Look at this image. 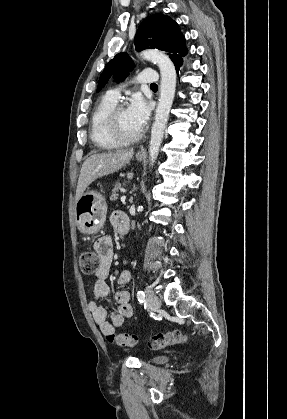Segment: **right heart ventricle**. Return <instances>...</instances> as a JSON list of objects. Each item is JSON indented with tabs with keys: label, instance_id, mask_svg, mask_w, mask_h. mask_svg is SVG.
<instances>
[{
	"label": "right heart ventricle",
	"instance_id": "e07e8e85",
	"mask_svg": "<svg viewBox=\"0 0 287 419\" xmlns=\"http://www.w3.org/2000/svg\"><path fill=\"white\" fill-rule=\"evenodd\" d=\"M117 100L109 94L104 95L95 107L90 119V139L99 149L111 150L120 146L106 128V118Z\"/></svg>",
	"mask_w": 287,
	"mask_h": 419
}]
</instances>
